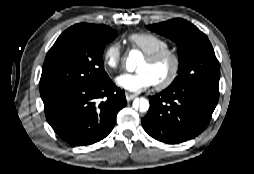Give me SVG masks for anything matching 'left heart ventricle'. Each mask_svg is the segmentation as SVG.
<instances>
[{"label":"left heart ventricle","mask_w":254,"mask_h":174,"mask_svg":"<svg viewBox=\"0 0 254 174\" xmlns=\"http://www.w3.org/2000/svg\"><path fill=\"white\" fill-rule=\"evenodd\" d=\"M171 68L172 61L169 57H166L156 63H149L144 59L139 63L137 70L147 72L155 84L164 81L170 74Z\"/></svg>","instance_id":"left-heart-ventricle-1"}]
</instances>
